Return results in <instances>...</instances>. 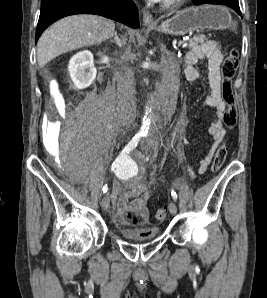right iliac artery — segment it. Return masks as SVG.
<instances>
[{"label": "right iliac artery", "instance_id": "82829eb1", "mask_svg": "<svg viewBox=\"0 0 267 298\" xmlns=\"http://www.w3.org/2000/svg\"><path fill=\"white\" fill-rule=\"evenodd\" d=\"M139 140H140L139 135H136L132 138V140L126 145V147L122 150V152L116 158L114 168L119 167L128 161V159H129L128 154L137 146ZM112 170H113V168H112ZM102 190H103V193H106L108 190L107 185H104Z\"/></svg>", "mask_w": 267, "mask_h": 298}]
</instances>
